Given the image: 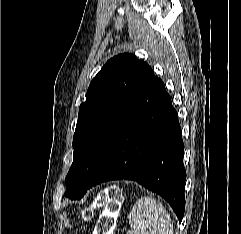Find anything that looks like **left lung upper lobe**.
Returning <instances> with one entry per match:
<instances>
[{"instance_id": "1", "label": "left lung upper lobe", "mask_w": 241, "mask_h": 234, "mask_svg": "<svg viewBox=\"0 0 241 234\" xmlns=\"http://www.w3.org/2000/svg\"><path fill=\"white\" fill-rule=\"evenodd\" d=\"M153 79L147 63L124 53L111 58L91 81L79 107L66 197L84 196L121 125Z\"/></svg>"}]
</instances>
